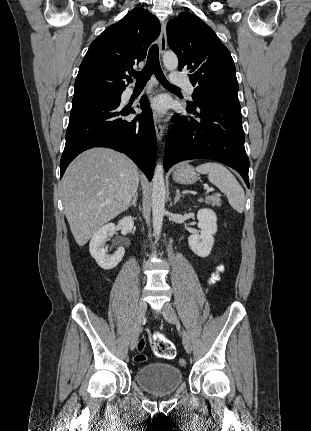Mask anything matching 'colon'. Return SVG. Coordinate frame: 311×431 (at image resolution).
<instances>
[{"instance_id":"colon-1","label":"colon","mask_w":311,"mask_h":431,"mask_svg":"<svg viewBox=\"0 0 311 431\" xmlns=\"http://www.w3.org/2000/svg\"><path fill=\"white\" fill-rule=\"evenodd\" d=\"M146 347V341L144 338H141L138 342L137 349L138 354L134 357L136 362H143L146 360V356L144 355V350ZM153 352L158 358L163 359H172L175 357L176 350L173 343L164 337H156L153 343ZM178 364L180 366L186 365V360L184 358H180L178 360Z\"/></svg>"}]
</instances>
